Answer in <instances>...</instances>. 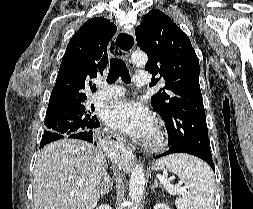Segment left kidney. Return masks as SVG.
I'll list each match as a JSON object with an SVG mask.
<instances>
[{
    "instance_id": "obj_1",
    "label": "left kidney",
    "mask_w": 253,
    "mask_h": 209,
    "mask_svg": "<svg viewBox=\"0 0 253 209\" xmlns=\"http://www.w3.org/2000/svg\"><path fill=\"white\" fill-rule=\"evenodd\" d=\"M154 209H170L167 204L163 203H156Z\"/></svg>"
}]
</instances>
